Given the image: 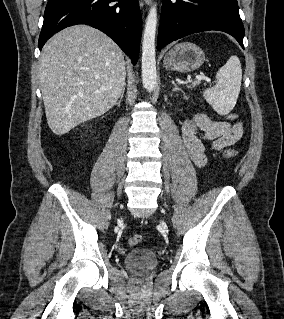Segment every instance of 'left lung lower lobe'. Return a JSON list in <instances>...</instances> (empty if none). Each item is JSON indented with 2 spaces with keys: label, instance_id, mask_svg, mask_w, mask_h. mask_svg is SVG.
Listing matches in <instances>:
<instances>
[{
  "label": "left lung lower lobe",
  "instance_id": "1",
  "mask_svg": "<svg viewBox=\"0 0 284 319\" xmlns=\"http://www.w3.org/2000/svg\"><path fill=\"white\" fill-rule=\"evenodd\" d=\"M210 30L232 35L244 48L237 0H164L157 49L189 34Z\"/></svg>",
  "mask_w": 284,
  "mask_h": 319
}]
</instances>
